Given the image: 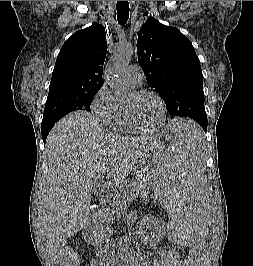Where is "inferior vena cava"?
Returning a JSON list of instances; mask_svg holds the SVG:
<instances>
[{
	"label": "inferior vena cava",
	"instance_id": "inferior-vena-cava-1",
	"mask_svg": "<svg viewBox=\"0 0 253 266\" xmlns=\"http://www.w3.org/2000/svg\"><path fill=\"white\" fill-rule=\"evenodd\" d=\"M100 219H101L100 214H99V215L95 214V215L93 216V221H95L96 224H98V225H99ZM100 228H101V227H100ZM100 228H99V230H100Z\"/></svg>",
	"mask_w": 253,
	"mask_h": 266
}]
</instances>
